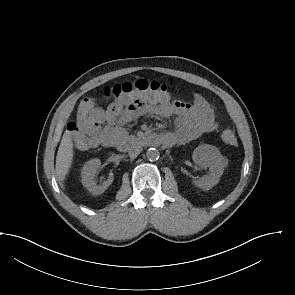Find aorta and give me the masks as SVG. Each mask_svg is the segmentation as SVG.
<instances>
[{"instance_id":"1","label":"aorta","mask_w":295,"mask_h":295,"mask_svg":"<svg viewBox=\"0 0 295 295\" xmlns=\"http://www.w3.org/2000/svg\"><path fill=\"white\" fill-rule=\"evenodd\" d=\"M146 156L150 161H156L160 157V153L155 148H149L146 152Z\"/></svg>"}]
</instances>
